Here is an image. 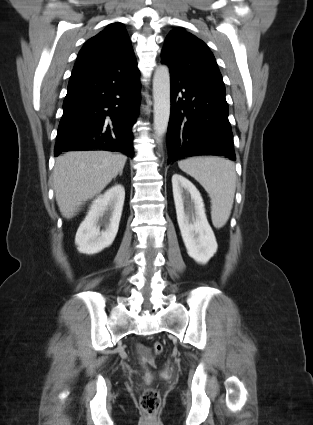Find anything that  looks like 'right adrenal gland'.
Here are the masks:
<instances>
[{
    "instance_id": "right-adrenal-gland-1",
    "label": "right adrenal gland",
    "mask_w": 313,
    "mask_h": 425,
    "mask_svg": "<svg viewBox=\"0 0 313 425\" xmlns=\"http://www.w3.org/2000/svg\"><path fill=\"white\" fill-rule=\"evenodd\" d=\"M122 173H123V169L119 171V176H122Z\"/></svg>"
}]
</instances>
